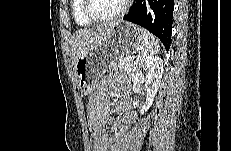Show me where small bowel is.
<instances>
[{"label": "small bowel", "instance_id": "c3829d8e", "mask_svg": "<svg viewBox=\"0 0 231 151\" xmlns=\"http://www.w3.org/2000/svg\"><path fill=\"white\" fill-rule=\"evenodd\" d=\"M111 91L126 93L128 89L125 83L107 78L100 82L88 102V123L93 143L92 151H120L127 130L135 117L130 99L124 96L116 104L117 111L123 116L113 121V135L106 132L105 127L110 122L108 94Z\"/></svg>", "mask_w": 231, "mask_h": 151}]
</instances>
